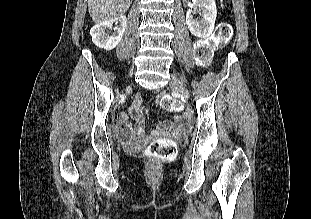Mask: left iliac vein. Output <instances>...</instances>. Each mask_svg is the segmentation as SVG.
Segmentation results:
<instances>
[{
	"label": "left iliac vein",
	"mask_w": 311,
	"mask_h": 219,
	"mask_svg": "<svg viewBox=\"0 0 311 219\" xmlns=\"http://www.w3.org/2000/svg\"><path fill=\"white\" fill-rule=\"evenodd\" d=\"M169 85L173 90L180 93L186 99L190 98V94L187 88L184 86L183 82L175 74H171Z\"/></svg>",
	"instance_id": "obj_1"
}]
</instances>
